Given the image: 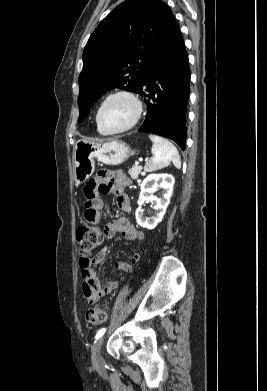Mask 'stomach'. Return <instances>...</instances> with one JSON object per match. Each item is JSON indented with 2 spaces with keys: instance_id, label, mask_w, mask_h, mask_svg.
Instances as JSON below:
<instances>
[{
  "instance_id": "stomach-1",
  "label": "stomach",
  "mask_w": 267,
  "mask_h": 391,
  "mask_svg": "<svg viewBox=\"0 0 267 391\" xmlns=\"http://www.w3.org/2000/svg\"><path fill=\"white\" fill-rule=\"evenodd\" d=\"M133 154L129 145L120 140H78L73 153L75 184L78 186L90 178L95 170V159L109 166H117Z\"/></svg>"
}]
</instances>
